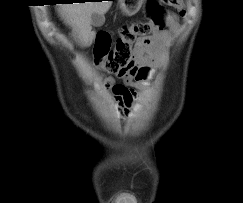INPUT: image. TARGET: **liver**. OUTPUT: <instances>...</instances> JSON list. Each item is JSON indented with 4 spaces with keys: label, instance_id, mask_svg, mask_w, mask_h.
<instances>
[{
    "label": "liver",
    "instance_id": "6515ba94",
    "mask_svg": "<svg viewBox=\"0 0 243 203\" xmlns=\"http://www.w3.org/2000/svg\"><path fill=\"white\" fill-rule=\"evenodd\" d=\"M110 7L111 1L72 3L61 6L59 11L72 26L81 45L87 47L96 36L91 27L92 14H105Z\"/></svg>",
    "mask_w": 243,
    "mask_h": 203
}]
</instances>
